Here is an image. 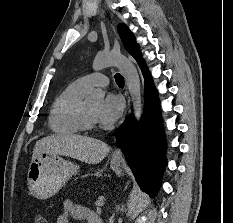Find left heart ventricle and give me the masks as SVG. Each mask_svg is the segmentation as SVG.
<instances>
[{"mask_svg": "<svg viewBox=\"0 0 233 223\" xmlns=\"http://www.w3.org/2000/svg\"><path fill=\"white\" fill-rule=\"evenodd\" d=\"M99 105H100V101H90V102H87V109L89 111L90 116L94 120H97L96 119V113H97Z\"/></svg>", "mask_w": 233, "mask_h": 223, "instance_id": "left-heart-ventricle-1", "label": "left heart ventricle"}]
</instances>
